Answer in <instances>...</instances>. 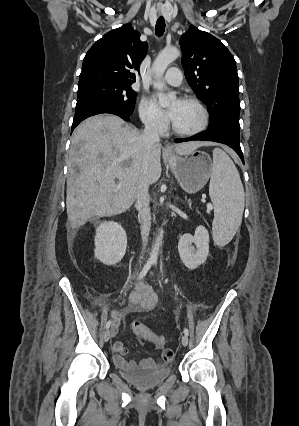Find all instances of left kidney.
Instances as JSON below:
<instances>
[{"label": "left kidney", "mask_w": 299, "mask_h": 426, "mask_svg": "<svg viewBox=\"0 0 299 426\" xmlns=\"http://www.w3.org/2000/svg\"><path fill=\"white\" fill-rule=\"evenodd\" d=\"M178 251L183 264L190 270L196 269L209 255L208 230L200 225L196 228L194 236L188 233L181 236Z\"/></svg>", "instance_id": "left-kidney-1"}]
</instances>
